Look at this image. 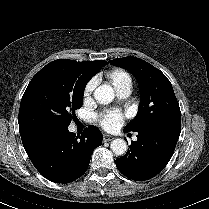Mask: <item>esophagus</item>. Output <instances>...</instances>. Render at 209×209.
Returning a JSON list of instances; mask_svg holds the SVG:
<instances>
[{
    "instance_id": "esophagus-1",
    "label": "esophagus",
    "mask_w": 209,
    "mask_h": 209,
    "mask_svg": "<svg viewBox=\"0 0 209 209\" xmlns=\"http://www.w3.org/2000/svg\"><path fill=\"white\" fill-rule=\"evenodd\" d=\"M113 139H114V137L111 136V135H108V134H104V135H103V141H104V142H109V141H111V140H113Z\"/></svg>"
}]
</instances>
